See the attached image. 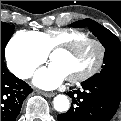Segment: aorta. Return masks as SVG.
<instances>
[{
  "instance_id": "762f6f07",
  "label": "aorta",
  "mask_w": 121,
  "mask_h": 121,
  "mask_svg": "<svg viewBox=\"0 0 121 121\" xmlns=\"http://www.w3.org/2000/svg\"><path fill=\"white\" fill-rule=\"evenodd\" d=\"M53 105L56 111L66 112L69 109V99L65 95H57L54 98Z\"/></svg>"
}]
</instances>
